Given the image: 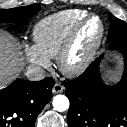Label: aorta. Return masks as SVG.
I'll list each match as a JSON object with an SVG mask.
<instances>
[{"mask_svg":"<svg viewBox=\"0 0 127 127\" xmlns=\"http://www.w3.org/2000/svg\"><path fill=\"white\" fill-rule=\"evenodd\" d=\"M53 107L56 111L63 112L69 108V99L65 95H56L53 98Z\"/></svg>","mask_w":127,"mask_h":127,"instance_id":"762f6f07","label":"aorta"}]
</instances>
